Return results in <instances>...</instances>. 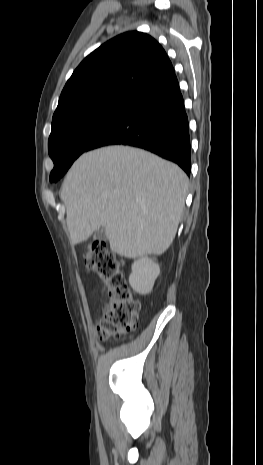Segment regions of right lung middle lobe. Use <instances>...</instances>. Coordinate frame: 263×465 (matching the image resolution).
Instances as JSON below:
<instances>
[{
    "instance_id": "obj_1",
    "label": "right lung middle lobe",
    "mask_w": 263,
    "mask_h": 465,
    "mask_svg": "<svg viewBox=\"0 0 263 465\" xmlns=\"http://www.w3.org/2000/svg\"><path fill=\"white\" fill-rule=\"evenodd\" d=\"M135 97L108 96L74 106L52 120L48 140L54 162L50 181H58L75 159L107 131L130 107Z\"/></svg>"
}]
</instances>
